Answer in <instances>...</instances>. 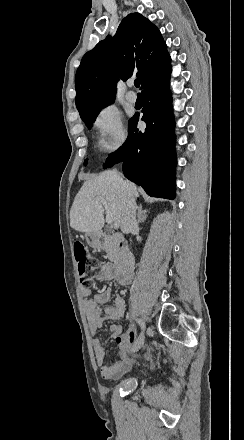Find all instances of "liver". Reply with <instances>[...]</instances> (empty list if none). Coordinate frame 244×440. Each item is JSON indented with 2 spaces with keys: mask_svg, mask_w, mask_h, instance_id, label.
Masks as SVG:
<instances>
[{
  "mask_svg": "<svg viewBox=\"0 0 244 440\" xmlns=\"http://www.w3.org/2000/svg\"><path fill=\"white\" fill-rule=\"evenodd\" d=\"M125 184L127 188L120 184L116 170H106L94 180H86L75 196L70 210L71 228L77 232H100L105 224L104 210L111 212L115 228H119L126 196H139L135 184ZM100 198L106 200L107 208H103Z\"/></svg>",
  "mask_w": 244,
  "mask_h": 440,
  "instance_id": "obj_1",
  "label": "liver"
}]
</instances>
